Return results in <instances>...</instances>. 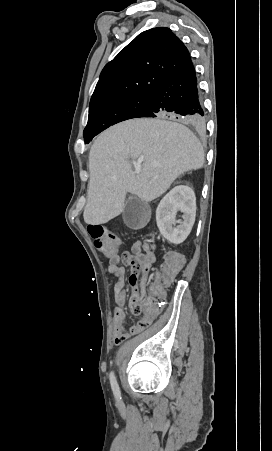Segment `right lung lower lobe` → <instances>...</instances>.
<instances>
[{
	"label": "right lung lower lobe",
	"mask_w": 272,
	"mask_h": 451,
	"mask_svg": "<svg viewBox=\"0 0 272 451\" xmlns=\"http://www.w3.org/2000/svg\"><path fill=\"white\" fill-rule=\"evenodd\" d=\"M204 109L191 59L151 94L147 107L136 117L177 119L196 129L205 126Z\"/></svg>",
	"instance_id": "obj_1"
}]
</instances>
